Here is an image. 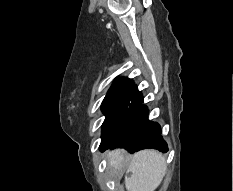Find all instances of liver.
<instances>
[{
	"label": "liver",
	"mask_w": 233,
	"mask_h": 191,
	"mask_svg": "<svg viewBox=\"0 0 233 191\" xmlns=\"http://www.w3.org/2000/svg\"><path fill=\"white\" fill-rule=\"evenodd\" d=\"M108 162L115 171H120L127 160L124 150L116 149L107 154ZM165 157L156 150L145 149L137 152L129 161L125 180L128 191H155L166 173Z\"/></svg>",
	"instance_id": "liver-1"
}]
</instances>
